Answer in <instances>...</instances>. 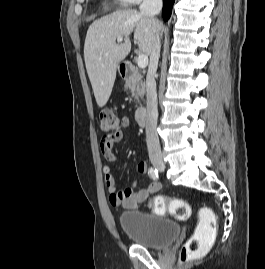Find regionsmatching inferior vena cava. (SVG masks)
I'll list each match as a JSON object with an SVG mask.
<instances>
[{
  "label": "inferior vena cava",
  "instance_id": "inferior-vena-cava-1",
  "mask_svg": "<svg viewBox=\"0 0 265 269\" xmlns=\"http://www.w3.org/2000/svg\"><path fill=\"white\" fill-rule=\"evenodd\" d=\"M140 13L152 21L154 25V41L150 53V63L147 73V115H146V143L150 160H162V153L157 133V92H156V71L160 57V38L156 29L155 15L162 9V0H143L139 7Z\"/></svg>",
  "mask_w": 265,
  "mask_h": 269
}]
</instances>
